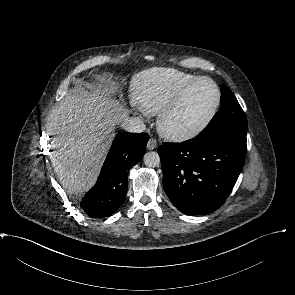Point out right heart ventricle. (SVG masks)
Masks as SVG:
<instances>
[{
  "instance_id": "obj_1",
  "label": "right heart ventricle",
  "mask_w": 295,
  "mask_h": 295,
  "mask_svg": "<svg viewBox=\"0 0 295 295\" xmlns=\"http://www.w3.org/2000/svg\"><path fill=\"white\" fill-rule=\"evenodd\" d=\"M197 77L171 68L145 71L137 79L138 101L146 112L157 114L185 85Z\"/></svg>"
}]
</instances>
